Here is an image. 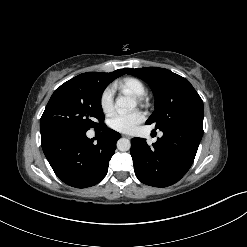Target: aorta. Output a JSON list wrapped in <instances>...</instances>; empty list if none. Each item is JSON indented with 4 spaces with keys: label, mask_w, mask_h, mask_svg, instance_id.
<instances>
[{
    "label": "aorta",
    "mask_w": 247,
    "mask_h": 247,
    "mask_svg": "<svg viewBox=\"0 0 247 247\" xmlns=\"http://www.w3.org/2000/svg\"><path fill=\"white\" fill-rule=\"evenodd\" d=\"M115 106L118 112H126L132 110L136 106V101L130 97L120 96L116 99ZM131 148V142L127 138H120L117 141V149L120 151H128Z\"/></svg>",
    "instance_id": "aorta-1"
}]
</instances>
